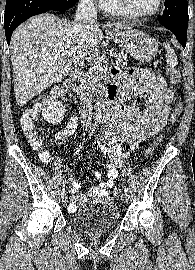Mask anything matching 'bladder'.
<instances>
[{
  "label": "bladder",
  "instance_id": "31cf9c89",
  "mask_svg": "<svg viewBox=\"0 0 195 270\" xmlns=\"http://www.w3.org/2000/svg\"><path fill=\"white\" fill-rule=\"evenodd\" d=\"M120 220L117 207L111 204H94L74 212L72 225L89 235H101L114 229Z\"/></svg>",
  "mask_w": 195,
  "mask_h": 270
}]
</instances>
